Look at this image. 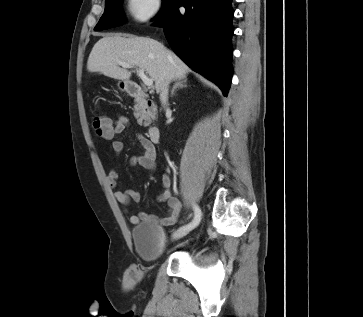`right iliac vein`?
<instances>
[{"instance_id":"1","label":"right iliac vein","mask_w":363,"mask_h":317,"mask_svg":"<svg viewBox=\"0 0 363 317\" xmlns=\"http://www.w3.org/2000/svg\"><path fill=\"white\" fill-rule=\"evenodd\" d=\"M189 231H190L189 229H179L172 234V239L178 240V239L184 237L185 235H187Z\"/></svg>"}]
</instances>
